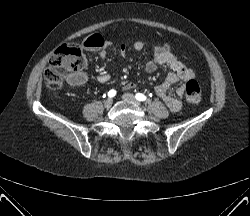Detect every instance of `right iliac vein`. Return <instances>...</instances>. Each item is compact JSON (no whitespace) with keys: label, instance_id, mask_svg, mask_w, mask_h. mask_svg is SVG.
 Returning a JSON list of instances; mask_svg holds the SVG:
<instances>
[{"label":"right iliac vein","instance_id":"1","mask_svg":"<svg viewBox=\"0 0 250 216\" xmlns=\"http://www.w3.org/2000/svg\"><path fill=\"white\" fill-rule=\"evenodd\" d=\"M113 104V100L112 99H107L105 102H104V106L106 108H110Z\"/></svg>","mask_w":250,"mask_h":216}]
</instances>
